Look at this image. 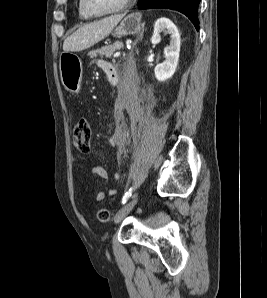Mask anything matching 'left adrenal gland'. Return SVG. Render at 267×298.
I'll list each match as a JSON object with an SVG mask.
<instances>
[{
	"mask_svg": "<svg viewBox=\"0 0 267 298\" xmlns=\"http://www.w3.org/2000/svg\"><path fill=\"white\" fill-rule=\"evenodd\" d=\"M143 37V33L140 34V36L135 40V42L133 43V47L136 46V44L142 39Z\"/></svg>",
	"mask_w": 267,
	"mask_h": 298,
	"instance_id": "left-adrenal-gland-1",
	"label": "left adrenal gland"
}]
</instances>
